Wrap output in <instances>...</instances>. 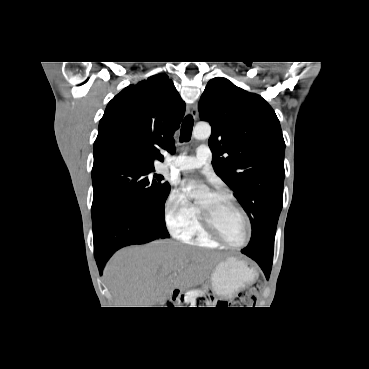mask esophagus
I'll return each instance as SVG.
<instances>
[{"label": "esophagus", "instance_id": "34e87169", "mask_svg": "<svg viewBox=\"0 0 369 369\" xmlns=\"http://www.w3.org/2000/svg\"><path fill=\"white\" fill-rule=\"evenodd\" d=\"M187 112L194 118L196 119L198 116V105L197 103H192L190 105H188L187 107Z\"/></svg>", "mask_w": 369, "mask_h": 369}]
</instances>
